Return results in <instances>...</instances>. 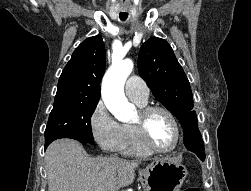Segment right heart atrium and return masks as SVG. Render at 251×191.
Here are the masks:
<instances>
[{"mask_svg": "<svg viewBox=\"0 0 251 191\" xmlns=\"http://www.w3.org/2000/svg\"><path fill=\"white\" fill-rule=\"evenodd\" d=\"M89 130L94 142L106 152L118 151L123 141V127L99 101L89 115Z\"/></svg>", "mask_w": 251, "mask_h": 191, "instance_id": "d8ad5b80", "label": "right heart atrium"}]
</instances>
